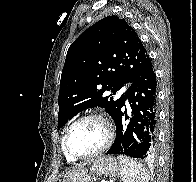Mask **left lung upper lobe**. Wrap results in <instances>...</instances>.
<instances>
[{"instance_id": "obj_1", "label": "left lung upper lobe", "mask_w": 196, "mask_h": 182, "mask_svg": "<svg viewBox=\"0 0 196 182\" xmlns=\"http://www.w3.org/2000/svg\"><path fill=\"white\" fill-rule=\"evenodd\" d=\"M150 61L125 20L108 16L92 25L67 52L58 97V129L80 111L96 106L116 121L128 91ZM126 83L130 88L116 97ZM106 91L112 93L106 95Z\"/></svg>"}]
</instances>
